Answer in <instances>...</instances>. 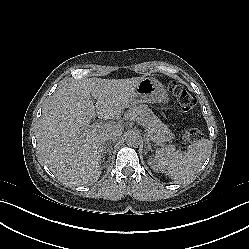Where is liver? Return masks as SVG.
<instances>
[{"label":"liver","mask_w":249,"mask_h":249,"mask_svg":"<svg viewBox=\"0 0 249 249\" xmlns=\"http://www.w3.org/2000/svg\"><path fill=\"white\" fill-rule=\"evenodd\" d=\"M140 81L88 79L60 89L38 124L37 148L44 163L56 172L74 174L81 183L98 180L103 136L113 131L121 134L123 126L121 122H111L97 128L90 125L91 120L95 116L119 119Z\"/></svg>","instance_id":"1"}]
</instances>
